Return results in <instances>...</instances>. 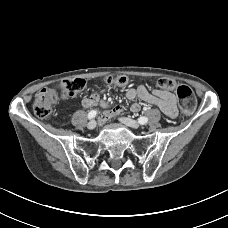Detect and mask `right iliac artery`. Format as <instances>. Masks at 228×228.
<instances>
[{
	"label": "right iliac artery",
	"instance_id": "82829eb1",
	"mask_svg": "<svg viewBox=\"0 0 228 228\" xmlns=\"http://www.w3.org/2000/svg\"><path fill=\"white\" fill-rule=\"evenodd\" d=\"M97 115V111L92 110L88 113V119H93Z\"/></svg>",
	"mask_w": 228,
	"mask_h": 228
}]
</instances>
